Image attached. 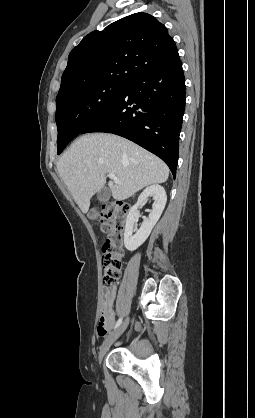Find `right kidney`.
<instances>
[{
	"mask_svg": "<svg viewBox=\"0 0 255 418\" xmlns=\"http://www.w3.org/2000/svg\"><path fill=\"white\" fill-rule=\"evenodd\" d=\"M152 197L154 200L152 210L148 218H145L140 229H137L136 219L139 215L138 208ZM167 202L165 189L160 185L147 187L139 196L137 203L130 209L126 218L124 232V245L127 250L134 251L141 246L149 237L153 227L159 220Z\"/></svg>",
	"mask_w": 255,
	"mask_h": 418,
	"instance_id": "right-kidney-1",
	"label": "right kidney"
}]
</instances>
